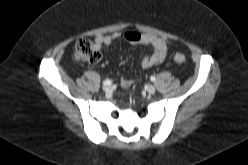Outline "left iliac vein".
I'll return each instance as SVG.
<instances>
[{
  "instance_id": "4c4485c4",
  "label": "left iliac vein",
  "mask_w": 248,
  "mask_h": 165,
  "mask_svg": "<svg viewBox=\"0 0 248 165\" xmlns=\"http://www.w3.org/2000/svg\"><path fill=\"white\" fill-rule=\"evenodd\" d=\"M146 90L149 94H154L156 92V88L153 85H148Z\"/></svg>"
}]
</instances>
